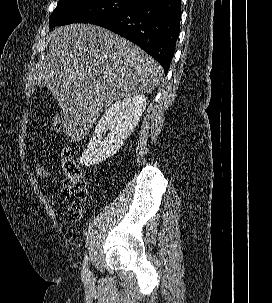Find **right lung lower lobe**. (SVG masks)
<instances>
[{"instance_id":"right-lung-lower-lobe-1","label":"right lung lower lobe","mask_w":272,"mask_h":303,"mask_svg":"<svg viewBox=\"0 0 272 303\" xmlns=\"http://www.w3.org/2000/svg\"><path fill=\"white\" fill-rule=\"evenodd\" d=\"M181 0H142L125 11L91 24L135 43L157 60L167 74L180 31Z\"/></svg>"}]
</instances>
